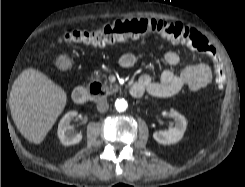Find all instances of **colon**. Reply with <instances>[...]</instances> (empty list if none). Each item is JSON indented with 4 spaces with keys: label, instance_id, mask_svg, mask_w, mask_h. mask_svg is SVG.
<instances>
[{
    "label": "colon",
    "instance_id": "5ec220e1",
    "mask_svg": "<svg viewBox=\"0 0 245 187\" xmlns=\"http://www.w3.org/2000/svg\"><path fill=\"white\" fill-rule=\"evenodd\" d=\"M149 33L157 34L173 43L185 45L211 57L218 71V80L221 82L222 72L217 62L215 48L200 32L181 23L154 19H119L92 30L68 31L58 38L57 44L82 43L103 47L127 39H136Z\"/></svg>",
    "mask_w": 245,
    "mask_h": 187
}]
</instances>
